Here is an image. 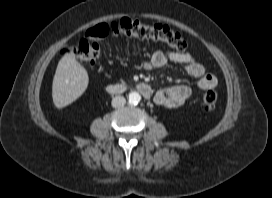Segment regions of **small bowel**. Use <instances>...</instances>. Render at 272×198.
Masks as SVG:
<instances>
[{"instance_id": "1", "label": "small bowel", "mask_w": 272, "mask_h": 198, "mask_svg": "<svg viewBox=\"0 0 272 198\" xmlns=\"http://www.w3.org/2000/svg\"><path fill=\"white\" fill-rule=\"evenodd\" d=\"M168 62L175 63L196 79L198 88L202 90L214 88L218 84L217 78L207 73L203 65L198 63L190 53L175 51H157L149 59L143 61L145 69L162 68ZM192 89L187 85L172 86L158 90L154 101L157 105L167 109H174L183 105L191 96Z\"/></svg>"}]
</instances>
